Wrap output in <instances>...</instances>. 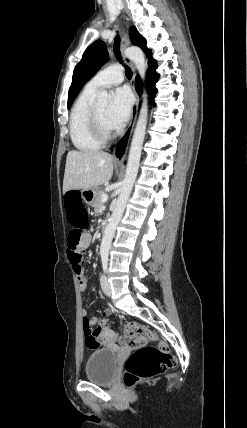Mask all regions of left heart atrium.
<instances>
[{"mask_svg": "<svg viewBox=\"0 0 247 428\" xmlns=\"http://www.w3.org/2000/svg\"><path fill=\"white\" fill-rule=\"evenodd\" d=\"M132 107V96L128 89H117L108 106L106 119L111 129H119L130 117Z\"/></svg>", "mask_w": 247, "mask_h": 428, "instance_id": "1", "label": "left heart atrium"}]
</instances>
